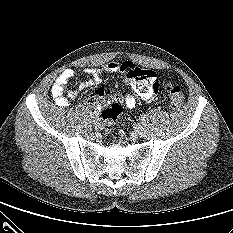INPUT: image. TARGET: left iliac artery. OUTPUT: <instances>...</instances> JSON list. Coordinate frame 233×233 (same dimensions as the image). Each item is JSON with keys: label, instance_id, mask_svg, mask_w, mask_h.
Segmentation results:
<instances>
[{"label": "left iliac artery", "instance_id": "obj_1", "mask_svg": "<svg viewBox=\"0 0 233 233\" xmlns=\"http://www.w3.org/2000/svg\"><path fill=\"white\" fill-rule=\"evenodd\" d=\"M140 120H142V121L145 120V116H144V115H141V116H140Z\"/></svg>", "mask_w": 233, "mask_h": 233}]
</instances>
